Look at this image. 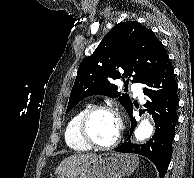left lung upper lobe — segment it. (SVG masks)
<instances>
[{"label": "left lung upper lobe", "instance_id": "1", "mask_svg": "<svg viewBox=\"0 0 194 178\" xmlns=\"http://www.w3.org/2000/svg\"><path fill=\"white\" fill-rule=\"evenodd\" d=\"M167 57L162 43L150 29L135 21L117 24L94 53L81 62L66 112L91 95L118 97L125 110H129L132 106L129 95H120L113 80L132 77L133 83H142Z\"/></svg>", "mask_w": 194, "mask_h": 178}]
</instances>
